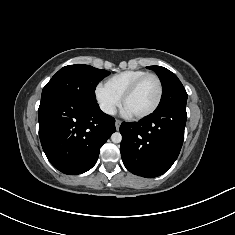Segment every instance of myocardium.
Instances as JSON below:
<instances>
[{
  "instance_id": "myocardium-1",
  "label": "myocardium",
  "mask_w": 235,
  "mask_h": 235,
  "mask_svg": "<svg viewBox=\"0 0 235 235\" xmlns=\"http://www.w3.org/2000/svg\"><path fill=\"white\" fill-rule=\"evenodd\" d=\"M149 77H153L156 79L157 83H158V88H159V92H158V97L156 102L154 103V105L148 109L145 112L139 113V114H135V115H131L134 119H142L145 117L150 116L151 114H153L158 107L161 104L162 98H163V93H164V89H163V83L160 79V77L155 74V73H147L141 77H139L138 79H136L127 89L126 91L123 93V95L121 96V106H124L125 101L134 94V92L137 90V88L139 87V85L147 78Z\"/></svg>"
}]
</instances>
